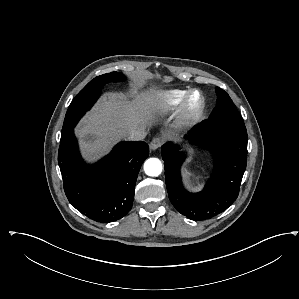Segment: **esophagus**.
Returning a JSON list of instances; mask_svg holds the SVG:
<instances>
[{"mask_svg": "<svg viewBox=\"0 0 299 299\" xmlns=\"http://www.w3.org/2000/svg\"><path fill=\"white\" fill-rule=\"evenodd\" d=\"M163 143V139L160 137L154 138L151 143H150V149L151 150H156L158 149Z\"/></svg>", "mask_w": 299, "mask_h": 299, "instance_id": "34e87169", "label": "esophagus"}]
</instances>
